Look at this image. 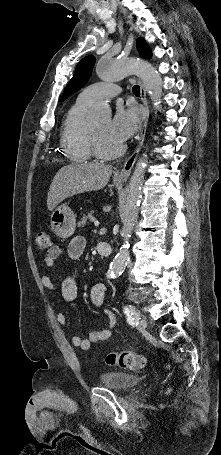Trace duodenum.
Wrapping results in <instances>:
<instances>
[{"instance_id": "obj_1", "label": "duodenum", "mask_w": 221, "mask_h": 455, "mask_svg": "<svg viewBox=\"0 0 221 455\" xmlns=\"http://www.w3.org/2000/svg\"><path fill=\"white\" fill-rule=\"evenodd\" d=\"M97 251L102 256H109L111 254V245L106 241H101L97 244Z\"/></svg>"}]
</instances>
